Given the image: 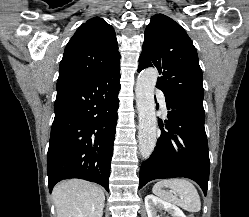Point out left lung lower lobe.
Instances as JSON below:
<instances>
[{"label":"left lung lower lobe","instance_id":"1","mask_svg":"<svg viewBox=\"0 0 249 217\" xmlns=\"http://www.w3.org/2000/svg\"><path fill=\"white\" fill-rule=\"evenodd\" d=\"M164 95L166 129L160 121L161 135L152 155L141 166L139 189L151 180L186 177L197 182L206 195L210 160L203 101L180 94Z\"/></svg>","mask_w":249,"mask_h":217}]
</instances>
